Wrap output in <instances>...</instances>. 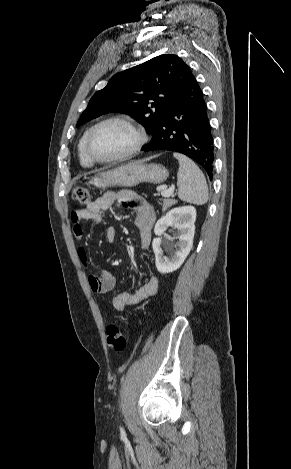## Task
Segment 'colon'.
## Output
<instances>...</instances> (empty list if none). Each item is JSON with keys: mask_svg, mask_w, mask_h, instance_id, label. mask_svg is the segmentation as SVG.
Wrapping results in <instances>:
<instances>
[{"mask_svg": "<svg viewBox=\"0 0 291 469\" xmlns=\"http://www.w3.org/2000/svg\"><path fill=\"white\" fill-rule=\"evenodd\" d=\"M73 200L79 204H86L90 200V194L87 188L77 186L73 190ZM107 344L116 352H121L126 348L127 338L121 331L120 327L111 324L106 329Z\"/></svg>", "mask_w": 291, "mask_h": 469, "instance_id": "obj_1", "label": "colon"}]
</instances>
